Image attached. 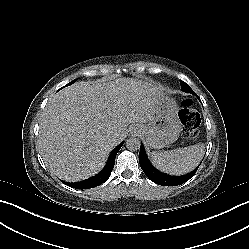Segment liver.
Here are the masks:
<instances>
[{"mask_svg":"<svg viewBox=\"0 0 249 249\" xmlns=\"http://www.w3.org/2000/svg\"><path fill=\"white\" fill-rule=\"evenodd\" d=\"M158 93L157 85L130 78L78 82L61 92L40 120L37 146L45 165L76 182L96 175L131 123L152 120Z\"/></svg>","mask_w":249,"mask_h":249,"instance_id":"6515ba94","label":"liver"}]
</instances>
